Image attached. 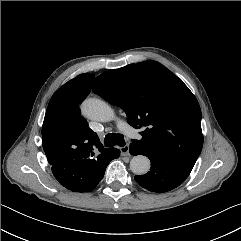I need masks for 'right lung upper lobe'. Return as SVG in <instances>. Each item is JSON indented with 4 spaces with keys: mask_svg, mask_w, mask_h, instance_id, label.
Returning <instances> with one entry per match:
<instances>
[{
    "mask_svg": "<svg viewBox=\"0 0 241 241\" xmlns=\"http://www.w3.org/2000/svg\"><path fill=\"white\" fill-rule=\"evenodd\" d=\"M93 80V74H81L61 86L50 99L42 126V146L49 163L95 159L112 151L103 147L81 117L79 104L90 93Z\"/></svg>",
    "mask_w": 241,
    "mask_h": 241,
    "instance_id": "obj_1",
    "label": "right lung upper lobe"
}]
</instances>
